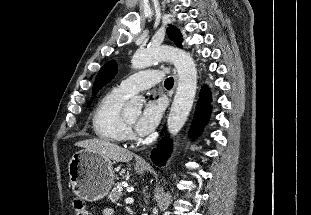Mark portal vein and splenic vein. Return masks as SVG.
Instances as JSON below:
<instances>
[{
    "label": "portal vein and splenic vein",
    "mask_w": 311,
    "mask_h": 215,
    "mask_svg": "<svg viewBox=\"0 0 311 215\" xmlns=\"http://www.w3.org/2000/svg\"><path fill=\"white\" fill-rule=\"evenodd\" d=\"M134 202V199L133 198H126V200H125V203L126 204H132Z\"/></svg>",
    "instance_id": "obj_1"
}]
</instances>
